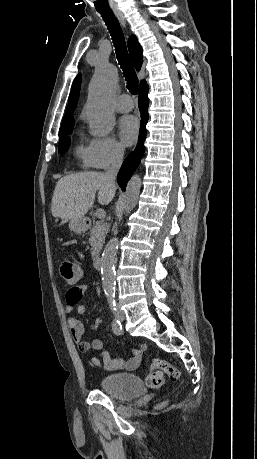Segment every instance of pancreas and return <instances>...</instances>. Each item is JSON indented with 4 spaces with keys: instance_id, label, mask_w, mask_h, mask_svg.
<instances>
[{
    "instance_id": "cf45deb5",
    "label": "pancreas",
    "mask_w": 257,
    "mask_h": 459,
    "mask_svg": "<svg viewBox=\"0 0 257 459\" xmlns=\"http://www.w3.org/2000/svg\"><path fill=\"white\" fill-rule=\"evenodd\" d=\"M109 231V224L104 221H98L90 229L89 243L91 245L92 257H96L105 242V237Z\"/></svg>"
}]
</instances>
